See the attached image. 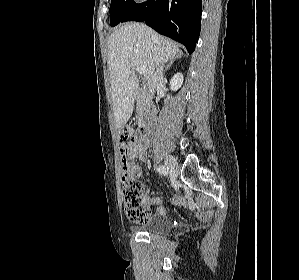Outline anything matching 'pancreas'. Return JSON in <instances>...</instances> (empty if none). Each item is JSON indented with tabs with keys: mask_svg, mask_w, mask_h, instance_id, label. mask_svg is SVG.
I'll return each instance as SVG.
<instances>
[{
	"mask_svg": "<svg viewBox=\"0 0 299 280\" xmlns=\"http://www.w3.org/2000/svg\"><path fill=\"white\" fill-rule=\"evenodd\" d=\"M137 114L138 118L143 114V106L141 104H138L137 106Z\"/></svg>",
	"mask_w": 299,
	"mask_h": 280,
	"instance_id": "1",
	"label": "pancreas"
}]
</instances>
